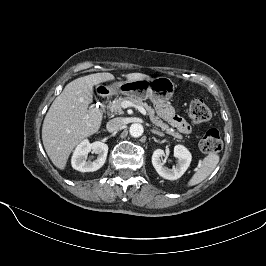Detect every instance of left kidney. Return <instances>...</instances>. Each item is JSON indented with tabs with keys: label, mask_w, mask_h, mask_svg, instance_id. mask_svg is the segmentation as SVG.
<instances>
[{
	"label": "left kidney",
	"mask_w": 266,
	"mask_h": 266,
	"mask_svg": "<svg viewBox=\"0 0 266 266\" xmlns=\"http://www.w3.org/2000/svg\"><path fill=\"white\" fill-rule=\"evenodd\" d=\"M165 152L162 149H156L152 155V164L157 173L168 180H176L180 178L188 169L191 163V153L183 145L174 147V156L177 158V164L173 168L164 166L163 157Z\"/></svg>",
	"instance_id": "1"
}]
</instances>
